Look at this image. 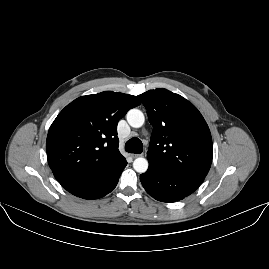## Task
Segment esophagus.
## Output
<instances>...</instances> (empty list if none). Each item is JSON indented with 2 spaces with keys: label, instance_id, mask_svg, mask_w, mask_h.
Wrapping results in <instances>:
<instances>
[{
  "label": "esophagus",
  "instance_id": "34e87169",
  "mask_svg": "<svg viewBox=\"0 0 269 269\" xmlns=\"http://www.w3.org/2000/svg\"><path fill=\"white\" fill-rule=\"evenodd\" d=\"M140 156V154H131V157L132 158H137V157H139Z\"/></svg>",
  "mask_w": 269,
  "mask_h": 269
}]
</instances>
